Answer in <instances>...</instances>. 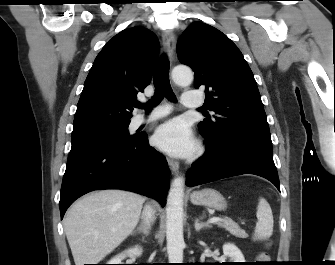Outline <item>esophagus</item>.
<instances>
[{
	"instance_id": "esophagus-1",
	"label": "esophagus",
	"mask_w": 335,
	"mask_h": 265,
	"mask_svg": "<svg viewBox=\"0 0 335 265\" xmlns=\"http://www.w3.org/2000/svg\"><path fill=\"white\" fill-rule=\"evenodd\" d=\"M162 40L164 45L165 53L167 54L170 60L174 57V51L176 47V39L175 35L172 31H163L162 33ZM168 165L173 173H176L179 169V163L176 160L167 159Z\"/></svg>"
}]
</instances>
